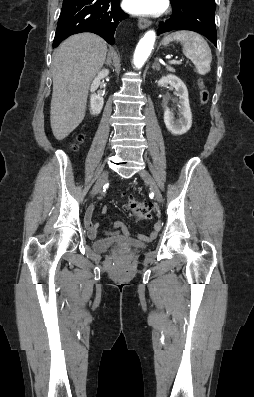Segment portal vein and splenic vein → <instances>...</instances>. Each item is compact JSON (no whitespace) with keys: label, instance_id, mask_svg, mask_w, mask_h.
<instances>
[{"label":"portal vein and splenic vein","instance_id":"portal-vein-and-splenic-vein-1","mask_svg":"<svg viewBox=\"0 0 254 397\" xmlns=\"http://www.w3.org/2000/svg\"><path fill=\"white\" fill-rule=\"evenodd\" d=\"M169 64H182V60H179V61L173 60V61H170Z\"/></svg>","mask_w":254,"mask_h":397}]
</instances>
